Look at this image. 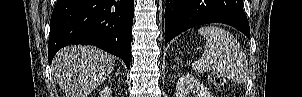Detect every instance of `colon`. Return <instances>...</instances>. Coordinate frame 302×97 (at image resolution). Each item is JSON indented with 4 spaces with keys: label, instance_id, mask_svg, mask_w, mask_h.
<instances>
[{
    "label": "colon",
    "instance_id": "colon-1",
    "mask_svg": "<svg viewBox=\"0 0 302 97\" xmlns=\"http://www.w3.org/2000/svg\"><path fill=\"white\" fill-rule=\"evenodd\" d=\"M209 79L214 84H221L223 82V79L217 75H210Z\"/></svg>",
    "mask_w": 302,
    "mask_h": 97
}]
</instances>
